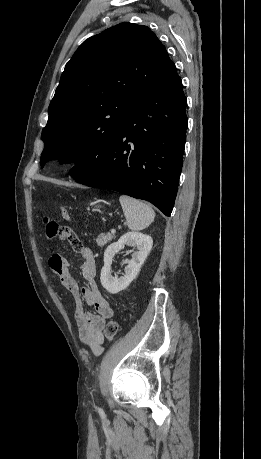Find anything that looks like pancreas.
Returning <instances> with one entry per match:
<instances>
[{"instance_id":"pancreas-1","label":"pancreas","mask_w":261,"mask_h":459,"mask_svg":"<svg viewBox=\"0 0 261 459\" xmlns=\"http://www.w3.org/2000/svg\"><path fill=\"white\" fill-rule=\"evenodd\" d=\"M115 238V235L114 234H105V233H101L98 235V237L96 238V243L98 246H104L105 244H107L109 241H111L112 239Z\"/></svg>"}]
</instances>
